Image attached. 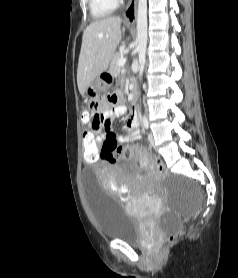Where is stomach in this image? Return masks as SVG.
Instances as JSON below:
<instances>
[{
  "instance_id": "obj_1",
  "label": "stomach",
  "mask_w": 238,
  "mask_h": 278,
  "mask_svg": "<svg viewBox=\"0 0 238 278\" xmlns=\"http://www.w3.org/2000/svg\"><path fill=\"white\" fill-rule=\"evenodd\" d=\"M93 82L86 89L85 96L89 99H103L106 90L112 86L115 75L110 74V69H101V74L94 75Z\"/></svg>"
}]
</instances>
